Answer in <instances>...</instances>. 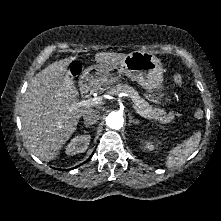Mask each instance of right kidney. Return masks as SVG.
Instances as JSON below:
<instances>
[{
    "label": "right kidney",
    "mask_w": 221,
    "mask_h": 221,
    "mask_svg": "<svg viewBox=\"0 0 221 221\" xmlns=\"http://www.w3.org/2000/svg\"><path fill=\"white\" fill-rule=\"evenodd\" d=\"M90 139V135H78L74 137L66 147V154L73 156L85 152L90 143Z\"/></svg>",
    "instance_id": "obj_1"
}]
</instances>
